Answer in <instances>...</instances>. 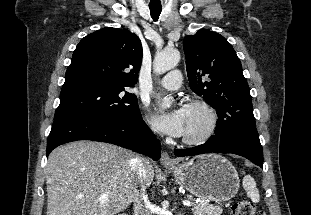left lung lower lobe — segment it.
Masks as SVG:
<instances>
[{"label": "left lung lower lobe", "mask_w": 311, "mask_h": 215, "mask_svg": "<svg viewBox=\"0 0 311 215\" xmlns=\"http://www.w3.org/2000/svg\"><path fill=\"white\" fill-rule=\"evenodd\" d=\"M174 153L178 157L204 153H234L260 167L263 166V150L258 132L254 127H238L219 136L213 135L202 145L176 149Z\"/></svg>", "instance_id": "left-lung-lower-lobe-1"}]
</instances>
